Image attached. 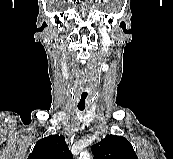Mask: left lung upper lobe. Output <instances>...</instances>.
<instances>
[{
	"mask_svg": "<svg viewBox=\"0 0 173 159\" xmlns=\"http://www.w3.org/2000/svg\"><path fill=\"white\" fill-rule=\"evenodd\" d=\"M94 159H138L130 142L121 136L107 135L92 146Z\"/></svg>",
	"mask_w": 173,
	"mask_h": 159,
	"instance_id": "5c2ea615",
	"label": "left lung upper lobe"
}]
</instances>
